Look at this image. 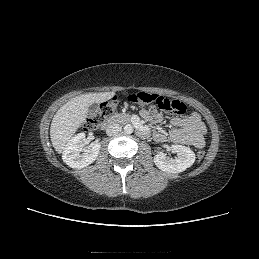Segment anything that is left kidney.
<instances>
[{
	"mask_svg": "<svg viewBox=\"0 0 259 259\" xmlns=\"http://www.w3.org/2000/svg\"><path fill=\"white\" fill-rule=\"evenodd\" d=\"M171 150L177 157L169 158L165 153L159 152L154 156L155 165L164 172L180 173L191 167L195 162V153L188 147L172 145Z\"/></svg>",
	"mask_w": 259,
	"mask_h": 259,
	"instance_id": "1",
	"label": "left kidney"
}]
</instances>
